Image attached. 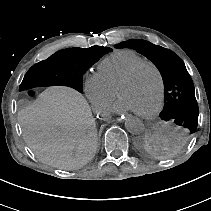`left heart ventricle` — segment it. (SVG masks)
<instances>
[{
    "mask_svg": "<svg viewBox=\"0 0 211 211\" xmlns=\"http://www.w3.org/2000/svg\"><path fill=\"white\" fill-rule=\"evenodd\" d=\"M119 95L134 112L152 110L159 96V81L153 68H141L128 83L119 88Z\"/></svg>",
    "mask_w": 211,
    "mask_h": 211,
    "instance_id": "b2bd125f",
    "label": "left heart ventricle"
}]
</instances>
